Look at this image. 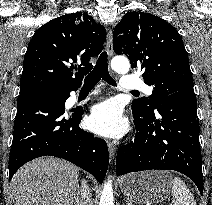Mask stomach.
I'll return each instance as SVG.
<instances>
[{
  "label": "stomach",
  "mask_w": 212,
  "mask_h": 205,
  "mask_svg": "<svg viewBox=\"0 0 212 205\" xmlns=\"http://www.w3.org/2000/svg\"><path fill=\"white\" fill-rule=\"evenodd\" d=\"M120 188L124 196L134 203H159L170 194L172 175L163 170L132 173L120 179Z\"/></svg>",
  "instance_id": "obj_1"
}]
</instances>
